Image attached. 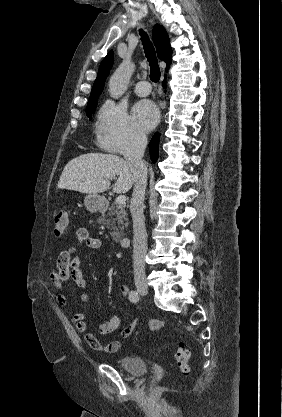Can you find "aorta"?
Listing matches in <instances>:
<instances>
[{"mask_svg":"<svg viewBox=\"0 0 282 417\" xmlns=\"http://www.w3.org/2000/svg\"><path fill=\"white\" fill-rule=\"evenodd\" d=\"M134 70V62L130 58H124L109 78V92L112 98H120L123 92L127 90V84Z\"/></svg>","mask_w":282,"mask_h":417,"instance_id":"obj_1","label":"aorta"}]
</instances>
